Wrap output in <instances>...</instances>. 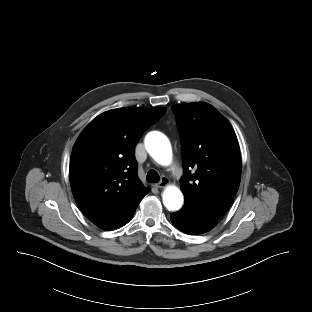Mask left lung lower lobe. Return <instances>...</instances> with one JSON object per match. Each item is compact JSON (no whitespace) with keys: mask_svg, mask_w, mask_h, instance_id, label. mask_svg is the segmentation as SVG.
I'll use <instances>...</instances> for the list:
<instances>
[{"mask_svg":"<svg viewBox=\"0 0 312 312\" xmlns=\"http://www.w3.org/2000/svg\"><path fill=\"white\" fill-rule=\"evenodd\" d=\"M172 224L186 234H202L211 230L217 219L204 216L188 207L173 213L170 217Z\"/></svg>","mask_w":312,"mask_h":312,"instance_id":"left-lung-lower-lobe-1","label":"left lung lower lobe"}]
</instances>
